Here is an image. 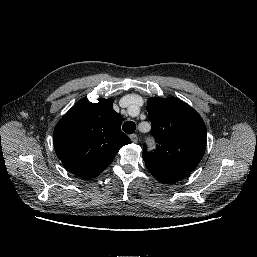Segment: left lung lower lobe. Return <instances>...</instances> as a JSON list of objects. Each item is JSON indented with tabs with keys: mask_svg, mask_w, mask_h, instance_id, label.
<instances>
[{
	"mask_svg": "<svg viewBox=\"0 0 257 257\" xmlns=\"http://www.w3.org/2000/svg\"><path fill=\"white\" fill-rule=\"evenodd\" d=\"M150 173L161 183H174L182 180L183 178L158 172L154 169H148Z\"/></svg>",
	"mask_w": 257,
	"mask_h": 257,
	"instance_id": "1",
	"label": "left lung lower lobe"
}]
</instances>
